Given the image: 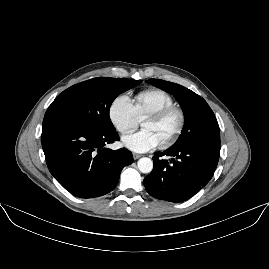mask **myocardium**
<instances>
[{
  "instance_id": "1",
  "label": "myocardium",
  "mask_w": 269,
  "mask_h": 269,
  "mask_svg": "<svg viewBox=\"0 0 269 269\" xmlns=\"http://www.w3.org/2000/svg\"><path fill=\"white\" fill-rule=\"evenodd\" d=\"M170 115L176 116L178 123H177V127H176L175 131L173 132L172 136L164 144L160 145V147L162 149L170 148L182 136L184 129H185V126H186L185 113L181 108H179L175 105H172V106L164 107L161 109H157V110L149 113L146 116V119H147V118H151V117L165 118V117L170 116Z\"/></svg>"
}]
</instances>
